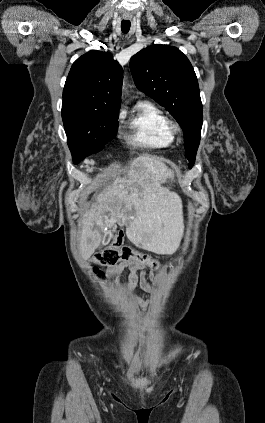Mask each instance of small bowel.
I'll return each instance as SVG.
<instances>
[{"instance_id":"1","label":"small bowel","mask_w":265,"mask_h":423,"mask_svg":"<svg viewBox=\"0 0 265 423\" xmlns=\"http://www.w3.org/2000/svg\"><path fill=\"white\" fill-rule=\"evenodd\" d=\"M129 269L130 271V278H129V289L134 290L135 287L140 284V286L146 290L151 291V287L147 282L146 273H145V266L141 264H137L130 261H123L117 265L111 266L107 269L108 274L112 278L118 277L123 269ZM139 272V275H138ZM149 278L151 281H154V275L152 273L149 274ZM133 300L136 303H144V301L137 295L133 296Z\"/></svg>"}]
</instances>
